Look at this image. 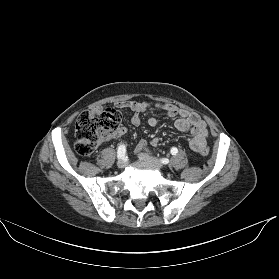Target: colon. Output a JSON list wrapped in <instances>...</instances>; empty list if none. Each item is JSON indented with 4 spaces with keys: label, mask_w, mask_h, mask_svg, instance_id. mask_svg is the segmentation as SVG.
I'll use <instances>...</instances> for the list:
<instances>
[{
    "label": "colon",
    "mask_w": 279,
    "mask_h": 279,
    "mask_svg": "<svg viewBox=\"0 0 279 279\" xmlns=\"http://www.w3.org/2000/svg\"><path fill=\"white\" fill-rule=\"evenodd\" d=\"M121 117L115 109H90L79 114L76 120L75 150L79 155L92 154L98 145L111 137L119 128ZM199 153L209 154L207 147Z\"/></svg>",
    "instance_id": "colon-1"
}]
</instances>
